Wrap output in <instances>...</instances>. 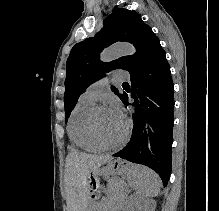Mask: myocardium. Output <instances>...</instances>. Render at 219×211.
Returning a JSON list of instances; mask_svg holds the SVG:
<instances>
[{"mask_svg":"<svg viewBox=\"0 0 219 211\" xmlns=\"http://www.w3.org/2000/svg\"><path fill=\"white\" fill-rule=\"evenodd\" d=\"M103 108H106V106L103 104H98V105H94L93 108L91 109L90 114H89V118H88V125H89L90 133H91L92 137L95 139V141L98 142L99 144H101L102 146L107 147V148L118 147L126 141L128 135H129L130 124L129 123L125 124V130L118 140H116L114 142L107 140L99 132L98 127H97V123H96L97 113L99 110H101Z\"/></svg>","mask_w":219,"mask_h":211,"instance_id":"myocardium-1","label":"myocardium"}]
</instances>
